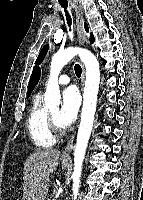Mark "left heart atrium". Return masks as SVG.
I'll return each mask as SVG.
<instances>
[{
	"label": "left heart atrium",
	"mask_w": 143,
	"mask_h": 200,
	"mask_svg": "<svg viewBox=\"0 0 143 200\" xmlns=\"http://www.w3.org/2000/svg\"><path fill=\"white\" fill-rule=\"evenodd\" d=\"M80 106V96L73 86L67 87L62 93V106L57 115V122L61 127H67L77 117Z\"/></svg>",
	"instance_id": "left-heart-atrium-1"
}]
</instances>
